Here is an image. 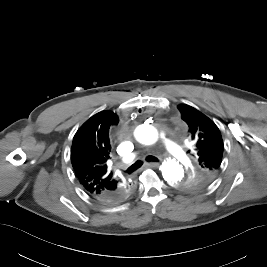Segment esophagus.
<instances>
[{
    "instance_id": "obj_1",
    "label": "esophagus",
    "mask_w": 267,
    "mask_h": 267,
    "mask_svg": "<svg viewBox=\"0 0 267 267\" xmlns=\"http://www.w3.org/2000/svg\"><path fill=\"white\" fill-rule=\"evenodd\" d=\"M145 165L149 167H158L160 164L157 162H148V163H145Z\"/></svg>"
}]
</instances>
